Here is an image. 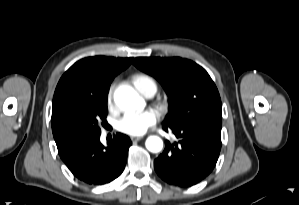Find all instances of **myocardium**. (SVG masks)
Segmentation results:
<instances>
[{"instance_id":"f54148a6","label":"myocardium","mask_w":299,"mask_h":205,"mask_svg":"<svg viewBox=\"0 0 299 205\" xmlns=\"http://www.w3.org/2000/svg\"><path fill=\"white\" fill-rule=\"evenodd\" d=\"M160 109H161L162 111H164V110H165V106H164V105H161V106H160Z\"/></svg>"}]
</instances>
